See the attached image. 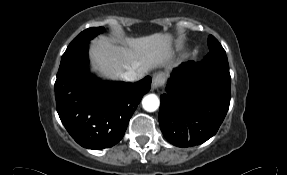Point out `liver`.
I'll use <instances>...</instances> for the list:
<instances>
[{"label": "liver", "mask_w": 287, "mask_h": 175, "mask_svg": "<svg viewBox=\"0 0 287 175\" xmlns=\"http://www.w3.org/2000/svg\"><path fill=\"white\" fill-rule=\"evenodd\" d=\"M125 44L116 45L106 37L93 40L90 49L93 70L109 79L121 78L130 70L142 78L148 71L170 64L173 56L172 36L168 33L125 38Z\"/></svg>", "instance_id": "liver-1"}]
</instances>
